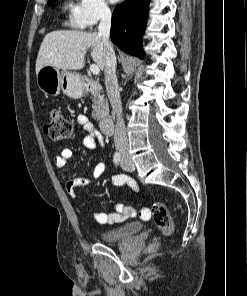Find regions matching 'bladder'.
I'll return each mask as SVG.
<instances>
[{"label": "bladder", "mask_w": 247, "mask_h": 296, "mask_svg": "<svg viewBox=\"0 0 247 296\" xmlns=\"http://www.w3.org/2000/svg\"><path fill=\"white\" fill-rule=\"evenodd\" d=\"M142 228V223H128L118 228H114L100 233V239L102 242L105 243L122 242L138 234L142 230Z\"/></svg>", "instance_id": "bladder-1"}]
</instances>
